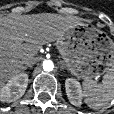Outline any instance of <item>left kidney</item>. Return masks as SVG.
I'll use <instances>...</instances> for the list:
<instances>
[{
  "label": "left kidney",
  "mask_w": 114,
  "mask_h": 114,
  "mask_svg": "<svg viewBox=\"0 0 114 114\" xmlns=\"http://www.w3.org/2000/svg\"><path fill=\"white\" fill-rule=\"evenodd\" d=\"M66 94L71 104L80 107L82 104V89L80 83L73 78H68L65 81Z\"/></svg>",
  "instance_id": "1"
}]
</instances>
